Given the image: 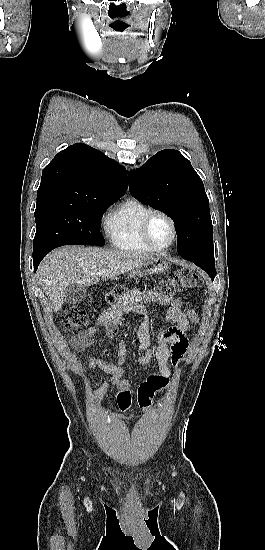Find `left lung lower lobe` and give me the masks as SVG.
Here are the masks:
<instances>
[{"instance_id": "1", "label": "left lung lower lobe", "mask_w": 265, "mask_h": 550, "mask_svg": "<svg viewBox=\"0 0 265 550\" xmlns=\"http://www.w3.org/2000/svg\"><path fill=\"white\" fill-rule=\"evenodd\" d=\"M185 259L192 261L195 265L206 271L211 279L215 277V261L214 252L202 251L197 254L186 257Z\"/></svg>"}]
</instances>
